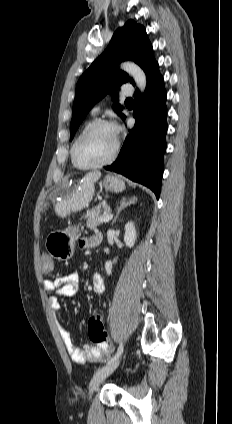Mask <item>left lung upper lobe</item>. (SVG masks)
Segmentation results:
<instances>
[{"label":"left lung upper lobe","instance_id":"obj_1","mask_svg":"<svg viewBox=\"0 0 232 424\" xmlns=\"http://www.w3.org/2000/svg\"><path fill=\"white\" fill-rule=\"evenodd\" d=\"M130 59L144 70L146 76L157 64L145 28L133 20L115 31L106 50L78 80L70 124L71 140L89 110L106 94L113 92V99L118 102L115 90L129 80L128 74L118 69V64ZM130 82L135 85L132 79ZM114 110L124 117L120 104H115Z\"/></svg>","mask_w":232,"mask_h":424}]
</instances>
